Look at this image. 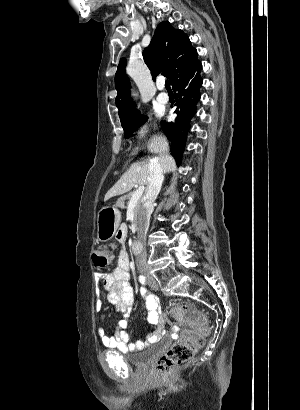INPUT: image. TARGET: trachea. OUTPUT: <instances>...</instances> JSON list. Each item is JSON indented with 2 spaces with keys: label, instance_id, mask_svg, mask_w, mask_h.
<instances>
[{
  "label": "trachea",
  "instance_id": "trachea-1",
  "mask_svg": "<svg viewBox=\"0 0 300 410\" xmlns=\"http://www.w3.org/2000/svg\"><path fill=\"white\" fill-rule=\"evenodd\" d=\"M165 87H166L167 90H171L168 80L165 81Z\"/></svg>",
  "mask_w": 300,
  "mask_h": 410
}]
</instances>
